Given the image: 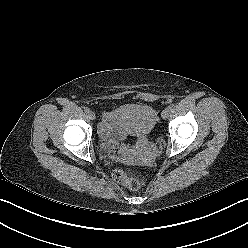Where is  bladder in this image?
Here are the masks:
<instances>
[{"instance_id": "bladder-1", "label": "bladder", "mask_w": 248, "mask_h": 248, "mask_svg": "<svg viewBox=\"0 0 248 248\" xmlns=\"http://www.w3.org/2000/svg\"><path fill=\"white\" fill-rule=\"evenodd\" d=\"M115 114L119 124L136 138L149 136L157 122V114L154 109L144 104L123 105L116 109ZM101 146L106 151L116 149L114 143L105 140L101 141Z\"/></svg>"}]
</instances>
